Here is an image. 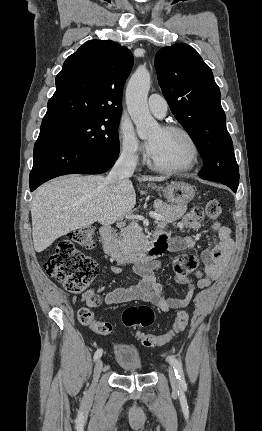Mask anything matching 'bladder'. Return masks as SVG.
<instances>
[{
  "label": "bladder",
  "mask_w": 262,
  "mask_h": 431,
  "mask_svg": "<svg viewBox=\"0 0 262 431\" xmlns=\"http://www.w3.org/2000/svg\"><path fill=\"white\" fill-rule=\"evenodd\" d=\"M116 359L119 366L125 371H140L143 363L137 349L128 344L115 346Z\"/></svg>",
  "instance_id": "1"
}]
</instances>
